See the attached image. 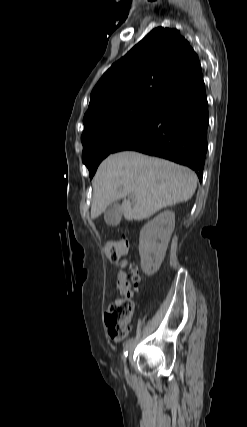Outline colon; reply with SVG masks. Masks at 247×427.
Segmentation results:
<instances>
[{"instance_id":"1","label":"colon","mask_w":247,"mask_h":427,"mask_svg":"<svg viewBox=\"0 0 247 427\" xmlns=\"http://www.w3.org/2000/svg\"><path fill=\"white\" fill-rule=\"evenodd\" d=\"M130 244L127 237L110 240L105 244L104 252L111 263H118L129 252ZM132 279L135 285L140 281V276L135 267L132 268ZM134 304L130 296L116 299L105 314V323L111 339L122 340L128 331L133 315Z\"/></svg>"}]
</instances>
